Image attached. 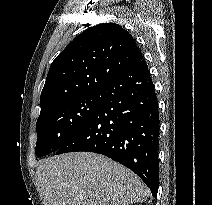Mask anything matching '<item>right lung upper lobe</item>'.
Wrapping results in <instances>:
<instances>
[{"label": "right lung upper lobe", "mask_w": 212, "mask_h": 205, "mask_svg": "<svg viewBox=\"0 0 212 205\" xmlns=\"http://www.w3.org/2000/svg\"><path fill=\"white\" fill-rule=\"evenodd\" d=\"M143 59L135 39L116 23L91 27L55 58L41 93V114L75 97L100 92Z\"/></svg>", "instance_id": "right-lung-upper-lobe-1"}]
</instances>
